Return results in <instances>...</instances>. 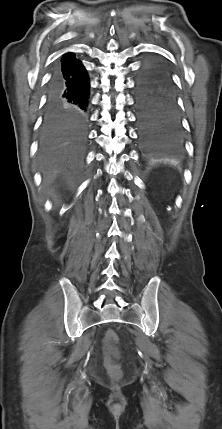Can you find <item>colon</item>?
Returning a JSON list of instances; mask_svg holds the SVG:
<instances>
[{
    "label": "colon",
    "mask_w": 222,
    "mask_h": 429,
    "mask_svg": "<svg viewBox=\"0 0 222 429\" xmlns=\"http://www.w3.org/2000/svg\"><path fill=\"white\" fill-rule=\"evenodd\" d=\"M105 344L107 349V371L111 378L118 380L122 377V370L115 361L112 360V357L117 354V349L115 347L117 336L114 331L109 330L105 334Z\"/></svg>",
    "instance_id": "1"
}]
</instances>
